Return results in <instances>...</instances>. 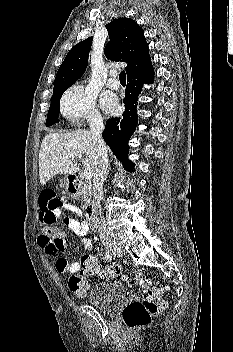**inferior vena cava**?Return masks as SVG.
I'll use <instances>...</instances> for the list:
<instances>
[{
    "instance_id": "obj_1",
    "label": "inferior vena cava",
    "mask_w": 233,
    "mask_h": 352,
    "mask_svg": "<svg viewBox=\"0 0 233 352\" xmlns=\"http://www.w3.org/2000/svg\"><path fill=\"white\" fill-rule=\"evenodd\" d=\"M104 130L103 118L99 114L93 115L90 120V133L92 139L97 147V163L93 179V196L96 202L97 209L95 212L94 223L98 226V231L102 243L108 246L112 243L113 237L106 230L105 219L101 216L100 201L103 197V184L108 169V155L107 147L102 138V132ZM100 215V216H99Z\"/></svg>"
}]
</instances>
